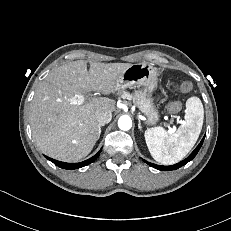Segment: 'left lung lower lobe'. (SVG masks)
<instances>
[{
    "label": "left lung lower lobe",
    "mask_w": 231,
    "mask_h": 231,
    "mask_svg": "<svg viewBox=\"0 0 231 231\" xmlns=\"http://www.w3.org/2000/svg\"><path fill=\"white\" fill-rule=\"evenodd\" d=\"M204 138H205V136L201 140L200 144L196 147V149L189 155V157H187L186 159H184L183 161H181V162H179V163H177L175 165L161 166V165H156V164H153V163L146 162L145 160L144 161L148 165H150V166H152V167H154V168H156L158 170H162V171L176 170V169L182 167L183 165H185L186 163H188L189 161H191L196 156V154L198 153L199 149L201 148V146L203 144Z\"/></svg>",
    "instance_id": "left-lung-lower-lobe-1"
}]
</instances>
